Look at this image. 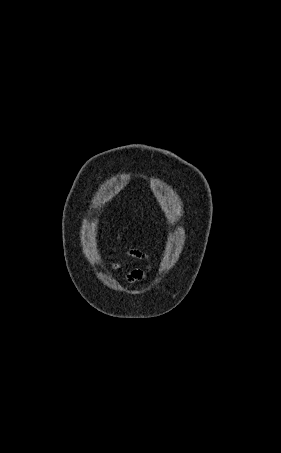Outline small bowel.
I'll return each mask as SVG.
<instances>
[{"mask_svg": "<svg viewBox=\"0 0 281 453\" xmlns=\"http://www.w3.org/2000/svg\"><path fill=\"white\" fill-rule=\"evenodd\" d=\"M125 256L131 260L139 261L142 266H132L124 268L125 277L129 282L144 281L147 279V269L152 266L149 257L136 250H127L124 252ZM119 269L118 264L112 266V270L117 271Z\"/></svg>", "mask_w": 281, "mask_h": 453, "instance_id": "c3829d8e", "label": "small bowel"}]
</instances>
